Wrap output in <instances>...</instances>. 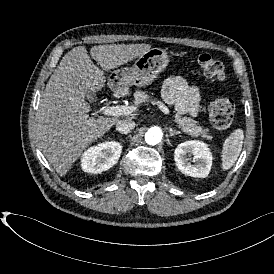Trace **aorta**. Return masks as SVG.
Listing matches in <instances>:
<instances>
[{"label": "aorta", "instance_id": "1", "mask_svg": "<svg viewBox=\"0 0 274 274\" xmlns=\"http://www.w3.org/2000/svg\"><path fill=\"white\" fill-rule=\"evenodd\" d=\"M163 133L160 127L153 126L145 134V141L149 145H156L162 139Z\"/></svg>", "mask_w": 274, "mask_h": 274}]
</instances>
